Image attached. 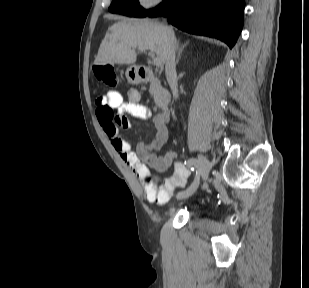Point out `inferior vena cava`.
Here are the masks:
<instances>
[{
    "label": "inferior vena cava",
    "mask_w": 309,
    "mask_h": 288,
    "mask_svg": "<svg viewBox=\"0 0 309 288\" xmlns=\"http://www.w3.org/2000/svg\"><path fill=\"white\" fill-rule=\"evenodd\" d=\"M166 31L168 36V48L165 60L166 78L172 90L173 97L177 98L178 78L176 74V63H175L176 39L174 32L170 27H166Z\"/></svg>",
    "instance_id": "602c4592"
}]
</instances>
